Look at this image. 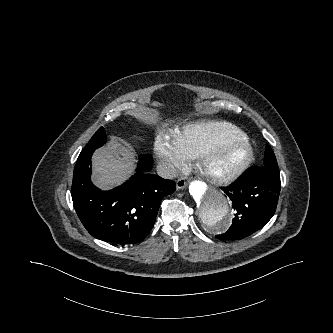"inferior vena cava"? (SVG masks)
Here are the masks:
<instances>
[{
  "mask_svg": "<svg viewBox=\"0 0 333 333\" xmlns=\"http://www.w3.org/2000/svg\"><path fill=\"white\" fill-rule=\"evenodd\" d=\"M157 173L160 177L165 179H173L178 175L174 165L167 162H162L157 166Z\"/></svg>",
  "mask_w": 333,
  "mask_h": 333,
  "instance_id": "obj_1",
  "label": "inferior vena cava"
}]
</instances>
